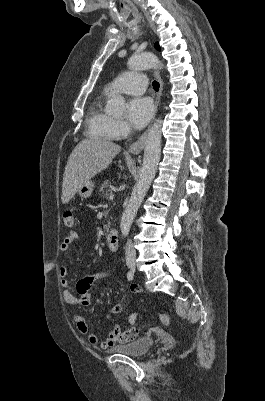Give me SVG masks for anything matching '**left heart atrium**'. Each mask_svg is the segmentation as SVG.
<instances>
[{"instance_id": "obj_1", "label": "left heart atrium", "mask_w": 265, "mask_h": 401, "mask_svg": "<svg viewBox=\"0 0 265 401\" xmlns=\"http://www.w3.org/2000/svg\"><path fill=\"white\" fill-rule=\"evenodd\" d=\"M152 114V103L146 98L136 97L127 104V118L135 129L142 128L150 120Z\"/></svg>"}]
</instances>
